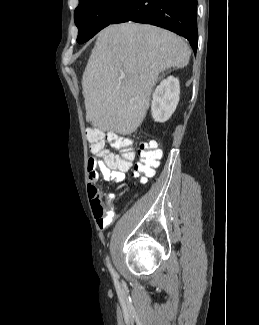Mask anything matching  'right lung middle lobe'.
<instances>
[{"instance_id":"dd1d6c3e","label":"right lung middle lobe","mask_w":259,"mask_h":325,"mask_svg":"<svg viewBox=\"0 0 259 325\" xmlns=\"http://www.w3.org/2000/svg\"><path fill=\"white\" fill-rule=\"evenodd\" d=\"M127 0H79L74 12L77 42L82 44L108 26Z\"/></svg>"}]
</instances>
